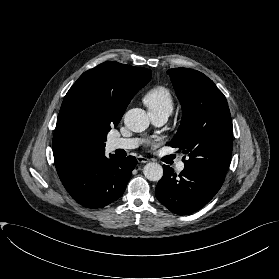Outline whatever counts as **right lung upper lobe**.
I'll return each instance as SVG.
<instances>
[{
  "label": "right lung upper lobe",
  "instance_id": "cb5924a9",
  "mask_svg": "<svg viewBox=\"0 0 279 279\" xmlns=\"http://www.w3.org/2000/svg\"><path fill=\"white\" fill-rule=\"evenodd\" d=\"M151 79V70L114 61L104 62L79 77L67 92L53 136V155L58 173L74 162L105 153L97 145L86 152L73 148L66 136V123L76 101L97 120L117 126L128 104Z\"/></svg>",
  "mask_w": 279,
  "mask_h": 279
}]
</instances>
